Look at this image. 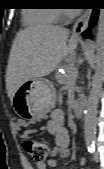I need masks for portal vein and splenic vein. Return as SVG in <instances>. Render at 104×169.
I'll return each instance as SVG.
<instances>
[{
  "label": "portal vein and splenic vein",
  "mask_w": 104,
  "mask_h": 169,
  "mask_svg": "<svg viewBox=\"0 0 104 169\" xmlns=\"http://www.w3.org/2000/svg\"><path fill=\"white\" fill-rule=\"evenodd\" d=\"M70 73H71L72 76H76V75L78 74V69H77V67H72V68L70 69Z\"/></svg>",
  "instance_id": "portal-vein-and-splenic-vein-1"
}]
</instances>
